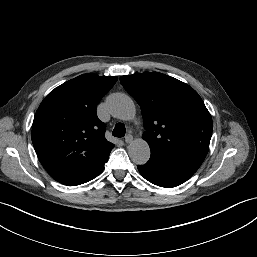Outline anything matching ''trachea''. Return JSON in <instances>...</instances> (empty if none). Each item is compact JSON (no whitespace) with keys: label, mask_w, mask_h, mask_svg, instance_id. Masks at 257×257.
Listing matches in <instances>:
<instances>
[{"label":"trachea","mask_w":257,"mask_h":257,"mask_svg":"<svg viewBox=\"0 0 257 257\" xmlns=\"http://www.w3.org/2000/svg\"><path fill=\"white\" fill-rule=\"evenodd\" d=\"M125 133H126V128L123 123L116 124L112 132L113 136L119 137V138L124 137Z\"/></svg>","instance_id":"obj_1"}]
</instances>
